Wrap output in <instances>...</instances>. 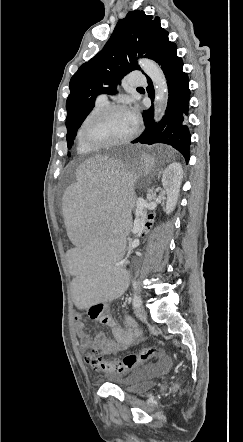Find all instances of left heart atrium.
<instances>
[{
    "instance_id": "left-heart-atrium-1",
    "label": "left heart atrium",
    "mask_w": 243,
    "mask_h": 442,
    "mask_svg": "<svg viewBox=\"0 0 243 442\" xmlns=\"http://www.w3.org/2000/svg\"><path fill=\"white\" fill-rule=\"evenodd\" d=\"M128 112L130 114V117H131L134 125H136L138 122V112L135 109L128 111Z\"/></svg>"
}]
</instances>
